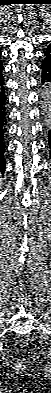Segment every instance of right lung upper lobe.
Wrapping results in <instances>:
<instances>
[{"instance_id":"cb5924a9","label":"right lung upper lobe","mask_w":51,"mask_h":393,"mask_svg":"<svg viewBox=\"0 0 51 393\" xmlns=\"http://www.w3.org/2000/svg\"><path fill=\"white\" fill-rule=\"evenodd\" d=\"M0 57H1V53H0ZM2 68H3V65H2V63L0 61V72L2 71Z\"/></svg>"}]
</instances>
